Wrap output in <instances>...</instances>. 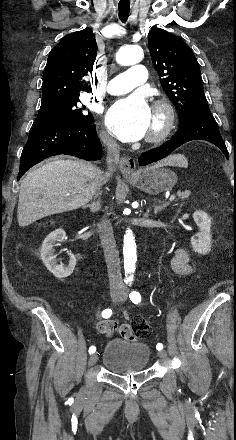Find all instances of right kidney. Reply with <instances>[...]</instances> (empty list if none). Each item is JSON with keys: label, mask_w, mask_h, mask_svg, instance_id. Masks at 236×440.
Instances as JSON below:
<instances>
[{"label": "right kidney", "mask_w": 236, "mask_h": 440, "mask_svg": "<svg viewBox=\"0 0 236 440\" xmlns=\"http://www.w3.org/2000/svg\"><path fill=\"white\" fill-rule=\"evenodd\" d=\"M66 236V233L63 229H56L52 233H50L42 243L41 249V259L47 269L59 279H64L70 276L73 273V270L76 265L75 255L71 252L69 254V261L67 265H59L58 260L54 254V246L58 245L59 242H62Z\"/></svg>", "instance_id": "1"}]
</instances>
